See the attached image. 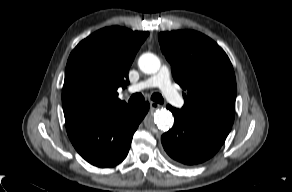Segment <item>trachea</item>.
Wrapping results in <instances>:
<instances>
[{"mask_svg": "<svg viewBox=\"0 0 292 192\" xmlns=\"http://www.w3.org/2000/svg\"><path fill=\"white\" fill-rule=\"evenodd\" d=\"M151 99L157 103H163L164 102V99L163 97L159 94V93H154L152 94L151 96ZM144 101V97L142 94L140 93H136V94H133L130 98H129V102L130 103H139V102H142Z\"/></svg>", "mask_w": 292, "mask_h": 192, "instance_id": "3493384b", "label": "trachea"}]
</instances>
